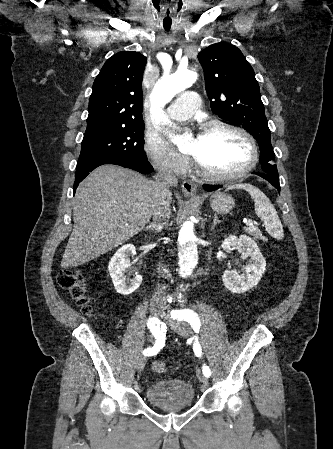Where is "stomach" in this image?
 Returning <instances> with one entry per match:
<instances>
[{
    "instance_id": "0dacf381",
    "label": "stomach",
    "mask_w": 333,
    "mask_h": 449,
    "mask_svg": "<svg viewBox=\"0 0 333 449\" xmlns=\"http://www.w3.org/2000/svg\"><path fill=\"white\" fill-rule=\"evenodd\" d=\"M210 203L213 211L220 214H227L234 207V199L226 193H214L210 198Z\"/></svg>"
}]
</instances>
